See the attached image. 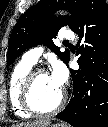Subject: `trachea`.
I'll return each instance as SVG.
<instances>
[{
  "instance_id": "3493384b",
  "label": "trachea",
  "mask_w": 108,
  "mask_h": 127,
  "mask_svg": "<svg viewBox=\"0 0 108 127\" xmlns=\"http://www.w3.org/2000/svg\"><path fill=\"white\" fill-rule=\"evenodd\" d=\"M64 43H65V44H68L69 42H68V41H65Z\"/></svg>"
}]
</instances>
